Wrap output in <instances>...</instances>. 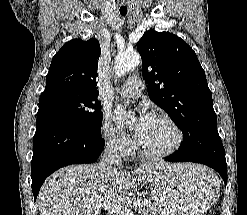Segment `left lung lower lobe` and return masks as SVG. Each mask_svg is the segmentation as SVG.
I'll return each instance as SVG.
<instances>
[{
    "label": "left lung lower lobe",
    "instance_id": "left-lung-lower-lobe-1",
    "mask_svg": "<svg viewBox=\"0 0 247 215\" xmlns=\"http://www.w3.org/2000/svg\"><path fill=\"white\" fill-rule=\"evenodd\" d=\"M191 144H182L172 155L165 158L170 162H195L215 169L227 184L225 150L217 131L193 135Z\"/></svg>",
    "mask_w": 247,
    "mask_h": 215
}]
</instances>
